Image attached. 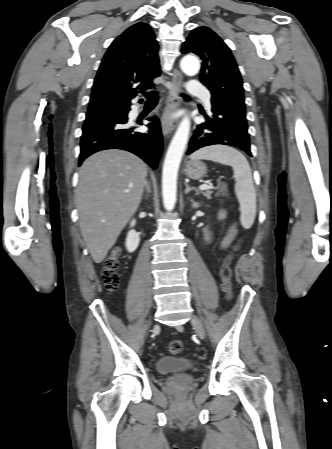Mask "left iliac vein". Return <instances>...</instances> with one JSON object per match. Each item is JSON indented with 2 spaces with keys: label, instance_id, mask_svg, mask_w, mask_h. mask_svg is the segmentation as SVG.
Here are the masks:
<instances>
[{
  "label": "left iliac vein",
  "instance_id": "4c4485c4",
  "mask_svg": "<svg viewBox=\"0 0 332 449\" xmlns=\"http://www.w3.org/2000/svg\"><path fill=\"white\" fill-rule=\"evenodd\" d=\"M191 323H192V325H193V327H194V329H195L197 335H198L201 339L204 338V336H205V330H204V327H203V324H202L201 320H200L197 316L194 315V316L191 318Z\"/></svg>",
  "mask_w": 332,
  "mask_h": 449
}]
</instances>
